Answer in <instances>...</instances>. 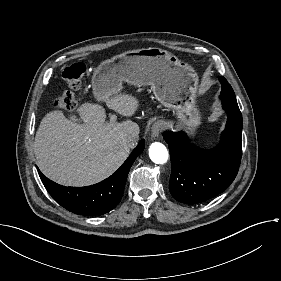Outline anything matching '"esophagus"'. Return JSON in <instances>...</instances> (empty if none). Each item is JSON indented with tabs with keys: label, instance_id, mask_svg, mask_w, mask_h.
Wrapping results in <instances>:
<instances>
[{
	"label": "esophagus",
	"instance_id": "esophagus-1",
	"mask_svg": "<svg viewBox=\"0 0 281 281\" xmlns=\"http://www.w3.org/2000/svg\"><path fill=\"white\" fill-rule=\"evenodd\" d=\"M163 124L161 122H155L152 126V135L157 137L163 130Z\"/></svg>",
	"mask_w": 281,
	"mask_h": 281
}]
</instances>
